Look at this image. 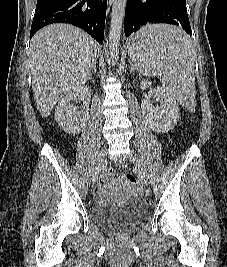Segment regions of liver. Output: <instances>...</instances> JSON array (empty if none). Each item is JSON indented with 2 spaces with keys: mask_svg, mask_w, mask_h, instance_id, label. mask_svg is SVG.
Returning <instances> with one entry per match:
<instances>
[{
  "mask_svg": "<svg viewBox=\"0 0 227 267\" xmlns=\"http://www.w3.org/2000/svg\"><path fill=\"white\" fill-rule=\"evenodd\" d=\"M96 58L95 40L72 25H48L33 36L29 65L33 97L43 118L63 96L86 83Z\"/></svg>",
  "mask_w": 227,
  "mask_h": 267,
  "instance_id": "1",
  "label": "liver"
}]
</instances>
